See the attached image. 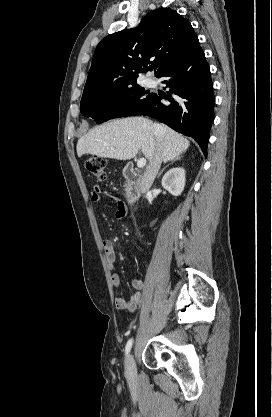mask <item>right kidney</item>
<instances>
[{"instance_id":"1","label":"right kidney","mask_w":272,"mask_h":417,"mask_svg":"<svg viewBox=\"0 0 272 417\" xmlns=\"http://www.w3.org/2000/svg\"><path fill=\"white\" fill-rule=\"evenodd\" d=\"M162 186L170 194L179 196L185 187V170L181 167L170 169L162 178Z\"/></svg>"}]
</instances>
